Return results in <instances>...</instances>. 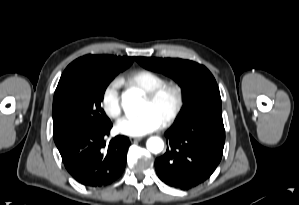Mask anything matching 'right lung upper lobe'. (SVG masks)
I'll return each mask as SVG.
<instances>
[{"label":"right lung upper lobe","instance_id":"1","mask_svg":"<svg viewBox=\"0 0 299 205\" xmlns=\"http://www.w3.org/2000/svg\"><path fill=\"white\" fill-rule=\"evenodd\" d=\"M134 57H117L113 55H85L76 59L66 69L115 71L128 68Z\"/></svg>","mask_w":299,"mask_h":205}]
</instances>
